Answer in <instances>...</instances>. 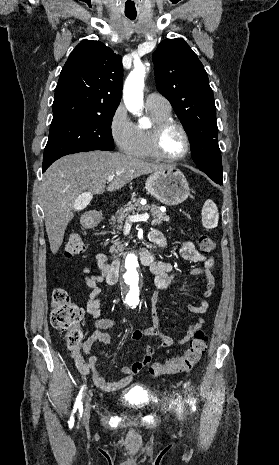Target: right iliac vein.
Masks as SVG:
<instances>
[{"instance_id":"obj_1","label":"right iliac vein","mask_w":279,"mask_h":465,"mask_svg":"<svg viewBox=\"0 0 279 465\" xmlns=\"http://www.w3.org/2000/svg\"><path fill=\"white\" fill-rule=\"evenodd\" d=\"M89 400V397H87V402ZM89 418H90V413H89V409L87 407V404H86V409H85V413H84V422L87 423L89 421Z\"/></svg>"}]
</instances>
